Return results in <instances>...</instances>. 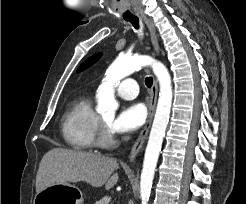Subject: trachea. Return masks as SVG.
I'll return each instance as SVG.
<instances>
[{
	"label": "trachea",
	"instance_id": "obj_1",
	"mask_svg": "<svg viewBox=\"0 0 246 204\" xmlns=\"http://www.w3.org/2000/svg\"><path fill=\"white\" fill-rule=\"evenodd\" d=\"M127 21H129L135 29H139V19L138 18H132V19H128ZM145 84L148 88H150L153 84V79L152 77H147L145 79Z\"/></svg>",
	"mask_w": 246,
	"mask_h": 204
}]
</instances>
